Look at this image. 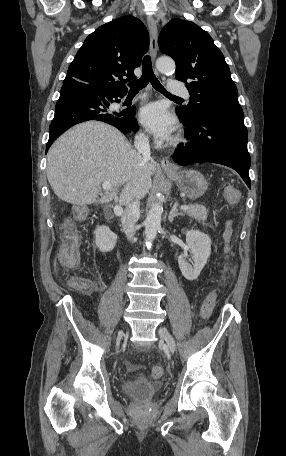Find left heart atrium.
I'll use <instances>...</instances> for the list:
<instances>
[{"label":"left heart atrium","instance_id":"1","mask_svg":"<svg viewBox=\"0 0 286 456\" xmlns=\"http://www.w3.org/2000/svg\"><path fill=\"white\" fill-rule=\"evenodd\" d=\"M140 122L155 137L168 140L176 128V122L167 107L154 102L144 106L139 113Z\"/></svg>","mask_w":286,"mask_h":456}]
</instances>
